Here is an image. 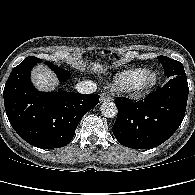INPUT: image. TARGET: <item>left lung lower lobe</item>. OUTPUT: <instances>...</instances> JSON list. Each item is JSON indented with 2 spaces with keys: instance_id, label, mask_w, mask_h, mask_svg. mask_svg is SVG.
<instances>
[{
  "instance_id": "obj_1",
  "label": "left lung lower lobe",
  "mask_w": 195,
  "mask_h": 195,
  "mask_svg": "<svg viewBox=\"0 0 195 195\" xmlns=\"http://www.w3.org/2000/svg\"><path fill=\"white\" fill-rule=\"evenodd\" d=\"M188 92L186 75H177L145 99H115L118 115L114 136L120 144L134 149L162 144L182 123Z\"/></svg>"
}]
</instances>
